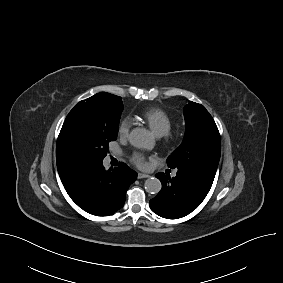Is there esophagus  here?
Masks as SVG:
<instances>
[{
    "instance_id": "obj_1",
    "label": "esophagus",
    "mask_w": 283,
    "mask_h": 283,
    "mask_svg": "<svg viewBox=\"0 0 283 283\" xmlns=\"http://www.w3.org/2000/svg\"><path fill=\"white\" fill-rule=\"evenodd\" d=\"M150 175L144 173H138V179L148 178Z\"/></svg>"
}]
</instances>
